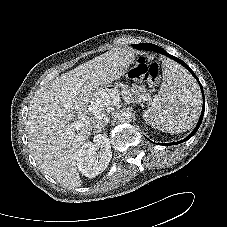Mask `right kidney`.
I'll return each mask as SVG.
<instances>
[{
	"instance_id": "1",
	"label": "right kidney",
	"mask_w": 227,
	"mask_h": 227,
	"mask_svg": "<svg viewBox=\"0 0 227 227\" xmlns=\"http://www.w3.org/2000/svg\"><path fill=\"white\" fill-rule=\"evenodd\" d=\"M100 149L99 154L96 153ZM112 151L106 134H98L93 142H86L80 149L77 166L86 177L92 178L101 174L109 165Z\"/></svg>"
}]
</instances>
